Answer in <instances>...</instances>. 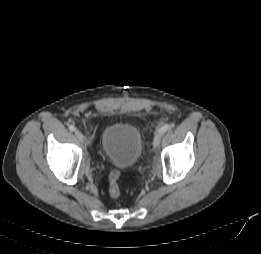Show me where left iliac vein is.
I'll use <instances>...</instances> for the list:
<instances>
[{"label": "left iliac vein", "mask_w": 261, "mask_h": 254, "mask_svg": "<svg viewBox=\"0 0 261 254\" xmlns=\"http://www.w3.org/2000/svg\"><path fill=\"white\" fill-rule=\"evenodd\" d=\"M161 137H162V132L158 131L154 136V140H153L154 147L159 146L160 141H161Z\"/></svg>", "instance_id": "left-iliac-vein-1"}]
</instances>
